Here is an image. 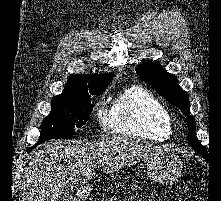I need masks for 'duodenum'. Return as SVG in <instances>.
I'll use <instances>...</instances> for the list:
<instances>
[{
    "label": "duodenum",
    "instance_id": "410a0bca",
    "mask_svg": "<svg viewBox=\"0 0 221 201\" xmlns=\"http://www.w3.org/2000/svg\"><path fill=\"white\" fill-rule=\"evenodd\" d=\"M76 201H84V197L82 195L77 196Z\"/></svg>",
    "mask_w": 221,
    "mask_h": 201
}]
</instances>
